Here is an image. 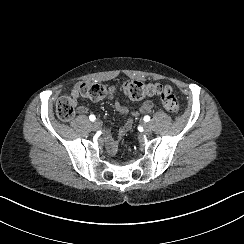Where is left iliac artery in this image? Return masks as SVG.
<instances>
[{
    "label": "left iliac artery",
    "instance_id": "left-iliac-artery-1",
    "mask_svg": "<svg viewBox=\"0 0 244 244\" xmlns=\"http://www.w3.org/2000/svg\"><path fill=\"white\" fill-rule=\"evenodd\" d=\"M144 121H145V122L150 121V116H148V115L144 116Z\"/></svg>",
    "mask_w": 244,
    "mask_h": 244
}]
</instances>
